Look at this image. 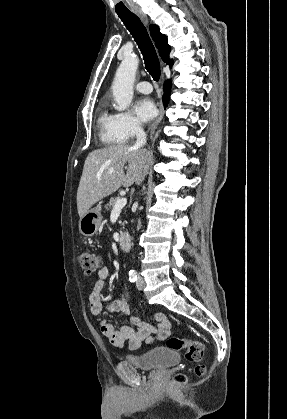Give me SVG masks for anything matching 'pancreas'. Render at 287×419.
Here are the masks:
<instances>
[{"mask_svg": "<svg viewBox=\"0 0 287 419\" xmlns=\"http://www.w3.org/2000/svg\"><path fill=\"white\" fill-rule=\"evenodd\" d=\"M117 199H119L118 197L115 198H111L110 201L107 203V205L105 206L106 209H111L113 208V206L115 205Z\"/></svg>", "mask_w": 287, "mask_h": 419, "instance_id": "obj_1", "label": "pancreas"}]
</instances>
